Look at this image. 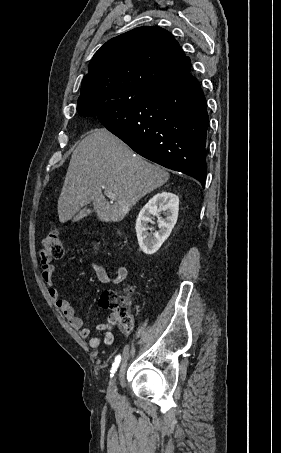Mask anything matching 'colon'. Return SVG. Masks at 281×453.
Masks as SVG:
<instances>
[{
  "mask_svg": "<svg viewBox=\"0 0 281 453\" xmlns=\"http://www.w3.org/2000/svg\"><path fill=\"white\" fill-rule=\"evenodd\" d=\"M64 246L61 234L57 230H51L43 239L42 250L39 259L43 263L60 260L64 256ZM119 325L122 330L132 328V318L128 309H121L118 312Z\"/></svg>",
  "mask_w": 281,
  "mask_h": 453,
  "instance_id": "5ec220e1",
  "label": "colon"
}]
</instances>
